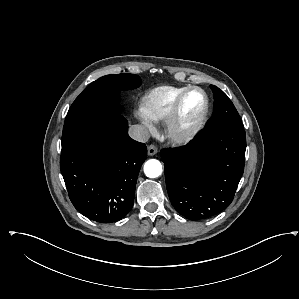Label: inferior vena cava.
Wrapping results in <instances>:
<instances>
[{"instance_id":"602c4592","label":"inferior vena cava","mask_w":299,"mask_h":299,"mask_svg":"<svg viewBox=\"0 0 299 299\" xmlns=\"http://www.w3.org/2000/svg\"><path fill=\"white\" fill-rule=\"evenodd\" d=\"M129 136L139 142H147L150 138L149 131L142 125H132L129 129Z\"/></svg>"}]
</instances>
